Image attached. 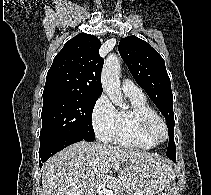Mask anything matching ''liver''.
<instances>
[{
	"mask_svg": "<svg viewBox=\"0 0 211 195\" xmlns=\"http://www.w3.org/2000/svg\"><path fill=\"white\" fill-rule=\"evenodd\" d=\"M173 179L160 156L86 141L55 154L42 172L43 195H97L101 184L128 195H160L170 190Z\"/></svg>",
	"mask_w": 211,
	"mask_h": 195,
	"instance_id": "liver-1",
	"label": "liver"
}]
</instances>
